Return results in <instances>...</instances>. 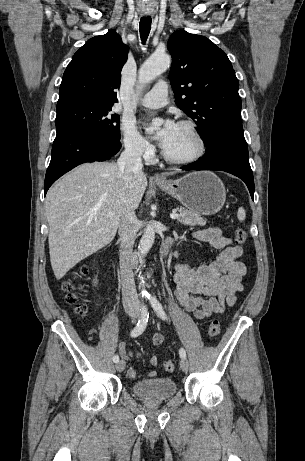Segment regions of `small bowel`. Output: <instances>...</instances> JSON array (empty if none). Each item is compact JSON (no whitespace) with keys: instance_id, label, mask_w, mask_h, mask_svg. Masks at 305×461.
I'll return each mask as SVG.
<instances>
[{"instance_id":"c3829d8e","label":"small bowel","mask_w":305,"mask_h":461,"mask_svg":"<svg viewBox=\"0 0 305 461\" xmlns=\"http://www.w3.org/2000/svg\"><path fill=\"white\" fill-rule=\"evenodd\" d=\"M193 237L206 242L214 249H221L220 255L212 262L191 268L182 263L175 264L174 284L176 297L185 311L192 313L198 320L209 318L213 314L222 313L225 305L232 306L237 300V294L243 289L241 281L246 275V265L238 260L243 250L240 246H233L229 237L222 234L221 229L211 227L198 230ZM177 255V253H176ZM165 342L164 335L156 333L151 337V343L161 348ZM119 352L124 359L131 353L127 345L121 343ZM139 356V352L134 353ZM150 364L159 365L157 355H152ZM130 378H137L138 374L130 367L127 370ZM157 375L155 370L149 372L150 377Z\"/></svg>"}]
</instances>
